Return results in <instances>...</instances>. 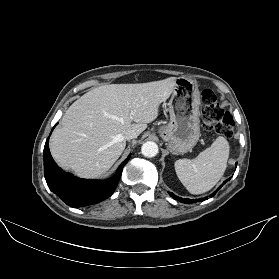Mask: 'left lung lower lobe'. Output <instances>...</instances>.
Wrapping results in <instances>:
<instances>
[{
	"instance_id": "left-lung-lower-lobe-1",
	"label": "left lung lower lobe",
	"mask_w": 279,
	"mask_h": 279,
	"mask_svg": "<svg viewBox=\"0 0 279 279\" xmlns=\"http://www.w3.org/2000/svg\"><path fill=\"white\" fill-rule=\"evenodd\" d=\"M228 180H229V179H227L226 181H224V183H226ZM221 187H222V186H220V187L212 194V196L215 195L216 192H217ZM169 194H170V196L173 197L175 200H178V201H180V202H182V203L190 204V203H195V202L200 201V200L183 199V198L178 197V196H176V195H174V194H172V193H169ZM201 201H202V199H201Z\"/></svg>"
}]
</instances>
